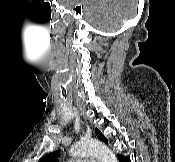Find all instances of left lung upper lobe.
I'll list each match as a JSON object with an SVG mask.
<instances>
[{
  "instance_id": "obj_1",
  "label": "left lung upper lobe",
  "mask_w": 175,
  "mask_h": 162,
  "mask_svg": "<svg viewBox=\"0 0 175 162\" xmlns=\"http://www.w3.org/2000/svg\"><path fill=\"white\" fill-rule=\"evenodd\" d=\"M95 133L100 140L108 143V140L106 139V137L98 129H95ZM58 154H59V151L51 152L46 156H44L39 162H54Z\"/></svg>"
}]
</instances>
